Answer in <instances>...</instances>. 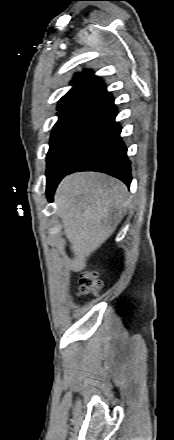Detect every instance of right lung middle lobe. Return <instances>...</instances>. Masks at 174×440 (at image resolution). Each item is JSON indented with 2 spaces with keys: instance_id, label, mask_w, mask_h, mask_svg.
<instances>
[{
  "instance_id": "right-lung-middle-lobe-1",
  "label": "right lung middle lobe",
  "mask_w": 174,
  "mask_h": 440,
  "mask_svg": "<svg viewBox=\"0 0 174 440\" xmlns=\"http://www.w3.org/2000/svg\"><path fill=\"white\" fill-rule=\"evenodd\" d=\"M99 107V99L94 98L59 111L47 154V186L59 181L83 151Z\"/></svg>"
}]
</instances>
